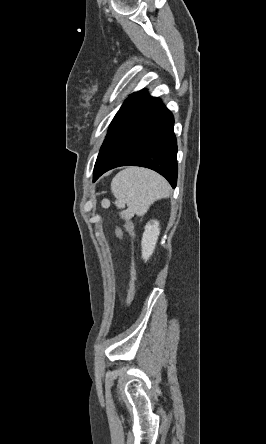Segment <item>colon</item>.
<instances>
[{
	"label": "colon",
	"mask_w": 266,
	"mask_h": 444,
	"mask_svg": "<svg viewBox=\"0 0 266 444\" xmlns=\"http://www.w3.org/2000/svg\"><path fill=\"white\" fill-rule=\"evenodd\" d=\"M126 233L130 237L131 240L134 238V226L133 223L130 220L125 221L124 224ZM116 236L121 239L123 236V231L120 228L116 229ZM135 287H136V265L134 261V257L132 258V265H131V272H130V279L128 284V290H127V304L128 306L131 305L134 293H135Z\"/></svg>",
	"instance_id": "5ec220e1"
}]
</instances>
